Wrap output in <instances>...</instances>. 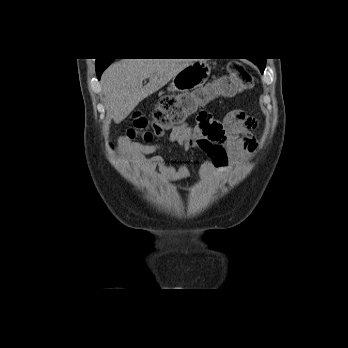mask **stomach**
I'll return each mask as SVG.
<instances>
[{
  "mask_svg": "<svg viewBox=\"0 0 348 348\" xmlns=\"http://www.w3.org/2000/svg\"><path fill=\"white\" fill-rule=\"evenodd\" d=\"M210 72L211 68L206 62L195 61L172 78L167 91L172 94L178 92L184 97L186 114H192L198 107L208 103V98L201 93H196V90L203 87Z\"/></svg>",
  "mask_w": 348,
  "mask_h": 348,
  "instance_id": "0dacf381",
  "label": "stomach"
}]
</instances>
